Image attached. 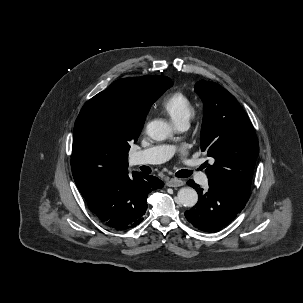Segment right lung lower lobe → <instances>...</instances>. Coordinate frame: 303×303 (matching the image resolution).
Instances as JSON below:
<instances>
[{
  "mask_svg": "<svg viewBox=\"0 0 303 303\" xmlns=\"http://www.w3.org/2000/svg\"><path fill=\"white\" fill-rule=\"evenodd\" d=\"M164 183L141 172H132L112 179L85 198L89 209L110 228L123 231L134 228L147 209L148 194Z\"/></svg>",
  "mask_w": 303,
  "mask_h": 303,
  "instance_id": "1",
  "label": "right lung lower lobe"
}]
</instances>
